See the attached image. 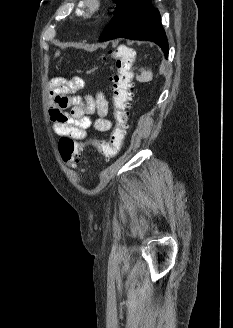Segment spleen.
Instances as JSON below:
<instances>
[{"instance_id":"1","label":"spleen","mask_w":233,"mask_h":328,"mask_svg":"<svg viewBox=\"0 0 233 328\" xmlns=\"http://www.w3.org/2000/svg\"><path fill=\"white\" fill-rule=\"evenodd\" d=\"M141 74L136 76V79L141 82V83H145V82H149L152 80L153 78V73L151 70H146V69H141L140 70Z\"/></svg>"}]
</instances>
